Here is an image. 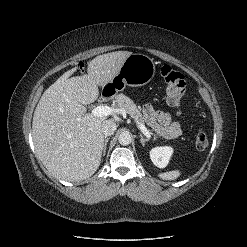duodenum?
<instances>
[{
	"instance_id": "1",
	"label": "duodenum",
	"mask_w": 247,
	"mask_h": 247,
	"mask_svg": "<svg viewBox=\"0 0 247 247\" xmlns=\"http://www.w3.org/2000/svg\"><path fill=\"white\" fill-rule=\"evenodd\" d=\"M107 96H108V93H104L103 96L101 97V100L102 101L105 100Z\"/></svg>"
}]
</instances>
